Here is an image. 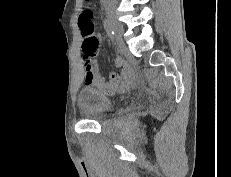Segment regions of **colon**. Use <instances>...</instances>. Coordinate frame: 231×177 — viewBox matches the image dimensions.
Here are the masks:
<instances>
[{"instance_id": "colon-1", "label": "colon", "mask_w": 231, "mask_h": 177, "mask_svg": "<svg viewBox=\"0 0 231 177\" xmlns=\"http://www.w3.org/2000/svg\"><path fill=\"white\" fill-rule=\"evenodd\" d=\"M79 27L83 37L82 56L83 62L89 65L96 56L99 48V39L95 35L94 24L92 22V11L86 7L79 17Z\"/></svg>"}]
</instances>
